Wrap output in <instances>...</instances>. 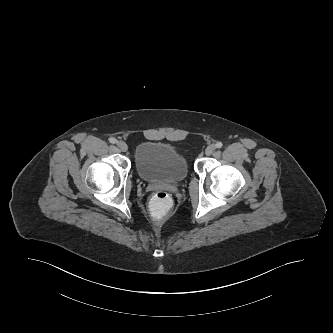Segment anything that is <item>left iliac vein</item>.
Masks as SVG:
<instances>
[{"label": "left iliac vein", "mask_w": 333, "mask_h": 333, "mask_svg": "<svg viewBox=\"0 0 333 333\" xmlns=\"http://www.w3.org/2000/svg\"><path fill=\"white\" fill-rule=\"evenodd\" d=\"M215 149H216L215 145L213 144L209 145L205 150L206 155H211L215 151Z\"/></svg>", "instance_id": "1"}]
</instances>
